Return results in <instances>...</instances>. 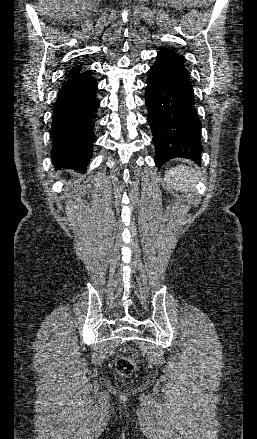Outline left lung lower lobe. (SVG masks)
Masks as SVG:
<instances>
[{
    "instance_id": "left-lung-lower-lobe-1",
    "label": "left lung lower lobe",
    "mask_w": 257,
    "mask_h": 439,
    "mask_svg": "<svg viewBox=\"0 0 257 439\" xmlns=\"http://www.w3.org/2000/svg\"><path fill=\"white\" fill-rule=\"evenodd\" d=\"M148 123L160 168L170 159L201 160L202 124L195 110L193 86L179 54L161 50L146 81Z\"/></svg>"
}]
</instances>
